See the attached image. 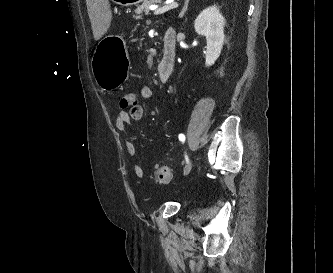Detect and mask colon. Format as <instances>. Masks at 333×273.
<instances>
[{
	"instance_id": "colon-1",
	"label": "colon",
	"mask_w": 333,
	"mask_h": 273,
	"mask_svg": "<svg viewBox=\"0 0 333 273\" xmlns=\"http://www.w3.org/2000/svg\"><path fill=\"white\" fill-rule=\"evenodd\" d=\"M137 95L134 92H125L120 99V106L123 109L137 105ZM171 169L168 166L159 167L154 175V180L159 184H167L171 180Z\"/></svg>"
}]
</instances>
